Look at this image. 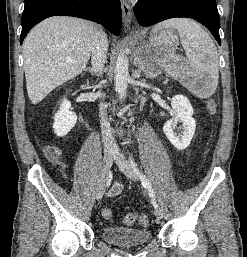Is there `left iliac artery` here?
I'll return each instance as SVG.
<instances>
[{"label":"left iliac artery","mask_w":247,"mask_h":257,"mask_svg":"<svg viewBox=\"0 0 247 257\" xmlns=\"http://www.w3.org/2000/svg\"><path fill=\"white\" fill-rule=\"evenodd\" d=\"M130 165L132 166V168L134 169V171H135V172L138 174V176L140 177V179H141V181H142L143 187H145V188L148 190L149 196H150V198H151V201H152L153 206H154L155 208L158 207V204H157V202H156V197H155L154 191H153V189H152V187H151V184H150L149 180L145 177L144 174H142V173L139 171V169H138V167H137V164H136L132 159H130Z\"/></svg>","instance_id":"44dca946"}]
</instances>
